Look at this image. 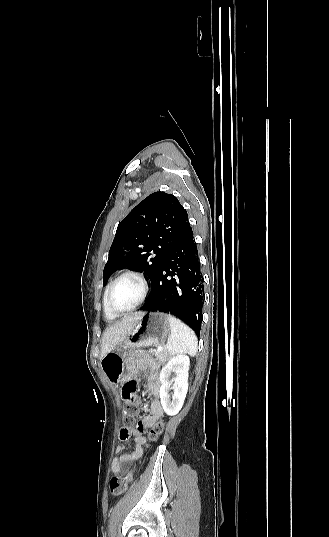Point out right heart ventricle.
Returning <instances> with one entry per match:
<instances>
[{
    "mask_svg": "<svg viewBox=\"0 0 329 537\" xmlns=\"http://www.w3.org/2000/svg\"><path fill=\"white\" fill-rule=\"evenodd\" d=\"M111 283L107 284L105 290H104V293H103V310H104V313L106 314V316L109 318V319H114L115 317H117L116 314L112 313L108 306H107V303H106V296H107V291L109 289V286H110Z\"/></svg>",
    "mask_w": 329,
    "mask_h": 537,
    "instance_id": "1",
    "label": "right heart ventricle"
}]
</instances>
